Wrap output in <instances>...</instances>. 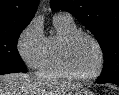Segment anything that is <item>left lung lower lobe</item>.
Returning <instances> with one entry per match:
<instances>
[{
	"label": "left lung lower lobe",
	"instance_id": "0a47b994",
	"mask_svg": "<svg viewBox=\"0 0 119 95\" xmlns=\"http://www.w3.org/2000/svg\"><path fill=\"white\" fill-rule=\"evenodd\" d=\"M97 83H114L119 86V81H114V82H108L105 80H101L100 78L97 79Z\"/></svg>",
	"mask_w": 119,
	"mask_h": 95
}]
</instances>
